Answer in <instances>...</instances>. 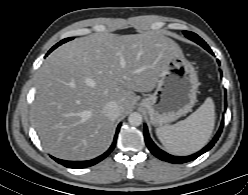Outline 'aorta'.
Masks as SVG:
<instances>
[{
	"instance_id": "aorta-1",
	"label": "aorta",
	"mask_w": 248,
	"mask_h": 195,
	"mask_svg": "<svg viewBox=\"0 0 248 195\" xmlns=\"http://www.w3.org/2000/svg\"><path fill=\"white\" fill-rule=\"evenodd\" d=\"M128 121L132 126H139L142 124L143 118L142 115L138 112H133L129 115Z\"/></svg>"
}]
</instances>
